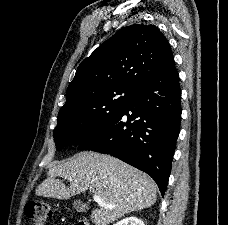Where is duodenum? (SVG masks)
Wrapping results in <instances>:
<instances>
[{
	"mask_svg": "<svg viewBox=\"0 0 228 225\" xmlns=\"http://www.w3.org/2000/svg\"><path fill=\"white\" fill-rule=\"evenodd\" d=\"M77 225H89V222L86 218H81L78 222Z\"/></svg>",
	"mask_w": 228,
	"mask_h": 225,
	"instance_id": "410a0bca",
	"label": "duodenum"
}]
</instances>
